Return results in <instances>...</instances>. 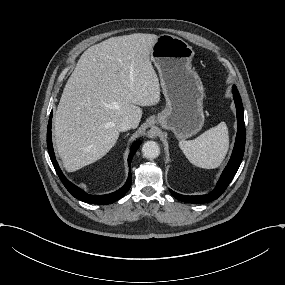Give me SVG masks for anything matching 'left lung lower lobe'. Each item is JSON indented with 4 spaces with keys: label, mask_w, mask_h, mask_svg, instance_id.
Instances as JSON below:
<instances>
[{
    "label": "left lung lower lobe",
    "mask_w": 285,
    "mask_h": 285,
    "mask_svg": "<svg viewBox=\"0 0 285 285\" xmlns=\"http://www.w3.org/2000/svg\"><path fill=\"white\" fill-rule=\"evenodd\" d=\"M233 94H234V100L235 105L237 109V122H238V131L236 136V142L233 149L232 156L229 160V163L227 164L226 168L224 169L219 182L217 183L216 187L213 189V191L206 195H200V196H186L178 194L172 190H170L171 194L186 203H194V204H202V203H208L211 202L217 198H219L222 193L225 191V189L228 187L232 179L234 178L240 163L243 158L244 154V148H245V123H244V109L242 105V100L240 97L239 92L237 91L236 86H233Z\"/></svg>",
    "instance_id": "0a47b994"
}]
</instances>
